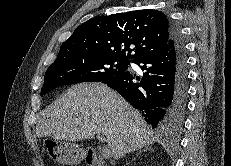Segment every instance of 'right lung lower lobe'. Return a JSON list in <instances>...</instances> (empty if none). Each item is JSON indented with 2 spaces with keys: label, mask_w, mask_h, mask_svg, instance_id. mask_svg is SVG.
<instances>
[{
  "label": "right lung lower lobe",
  "mask_w": 231,
  "mask_h": 166,
  "mask_svg": "<svg viewBox=\"0 0 231 166\" xmlns=\"http://www.w3.org/2000/svg\"><path fill=\"white\" fill-rule=\"evenodd\" d=\"M133 63L146 71L141 79L126 70L102 82L140 110L146 122L160 134L178 131L188 96L186 49L179 28L171 22L170 42L162 50Z\"/></svg>",
  "instance_id": "obj_1"
}]
</instances>
